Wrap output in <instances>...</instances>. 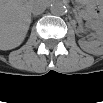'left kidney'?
Returning a JSON list of instances; mask_svg holds the SVG:
<instances>
[{
    "mask_svg": "<svg viewBox=\"0 0 103 103\" xmlns=\"http://www.w3.org/2000/svg\"><path fill=\"white\" fill-rule=\"evenodd\" d=\"M86 27L95 31V36L90 41L80 39L78 41L79 46L85 52L95 54L101 52L103 49V25L98 21L86 22Z\"/></svg>",
    "mask_w": 103,
    "mask_h": 103,
    "instance_id": "left-kidney-1",
    "label": "left kidney"
}]
</instances>
